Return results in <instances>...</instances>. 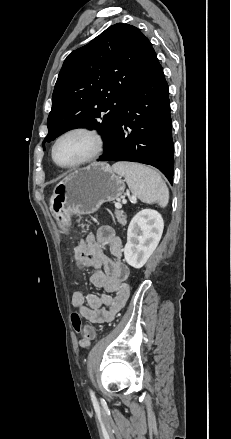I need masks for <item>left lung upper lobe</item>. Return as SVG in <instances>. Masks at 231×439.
<instances>
[{
    "instance_id": "left-lung-upper-lobe-1",
    "label": "left lung upper lobe",
    "mask_w": 231,
    "mask_h": 439,
    "mask_svg": "<svg viewBox=\"0 0 231 439\" xmlns=\"http://www.w3.org/2000/svg\"><path fill=\"white\" fill-rule=\"evenodd\" d=\"M153 51L136 27L117 23L65 59L48 116L50 142L78 127L97 129L106 145L120 109Z\"/></svg>"
}]
</instances>
